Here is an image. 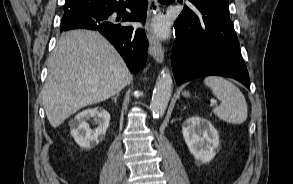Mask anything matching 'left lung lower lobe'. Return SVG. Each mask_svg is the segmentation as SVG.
Segmentation results:
<instances>
[{
	"label": "left lung lower lobe",
	"mask_w": 293,
	"mask_h": 184,
	"mask_svg": "<svg viewBox=\"0 0 293 184\" xmlns=\"http://www.w3.org/2000/svg\"><path fill=\"white\" fill-rule=\"evenodd\" d=\"M174 28L171 61L177 84L206 75L234 78L250 89L239 41L229 11L202 0L190 1Z\"/></svg>",
	"instance_id": "left-lung-lower-lobe-1"
}]
</instances>
